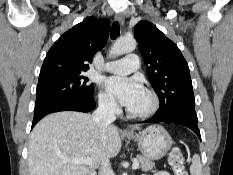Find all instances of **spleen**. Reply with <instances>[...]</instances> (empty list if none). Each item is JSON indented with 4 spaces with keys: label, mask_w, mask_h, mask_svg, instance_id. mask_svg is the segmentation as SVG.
<instances>
[{
    "label": "spleen",
    "mask_w": 233,
    "mask_h": 175,
    "mask_svg": "<svg viewBox=\"0 0 233 175\" xmlns=\"http://www.w3.org/2000/svg\"><path fill=\"white\" fill-rule=\"evenodd\" d=\"M202 172V164L200 161V156L195 154L192 158V165L190 167L191 175H201Z\"/></svg>",
    "instance_id": "3e777b00"
}]
</instances>
